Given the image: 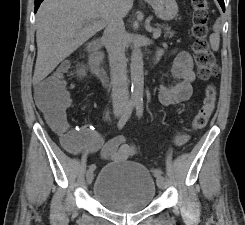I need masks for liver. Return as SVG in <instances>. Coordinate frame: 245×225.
I'll return each mask as SVG.
<instances>
[{
    "label": "liver",
    "instance_id": "1",
    "mask_svg": "<svg viewBox=\"0 0 245 225\" xmlns=\"http://www.w3.org/2000/svg\"><path fill=\"white\" fill-rule=\"evenodd\" d=\"M133 0H44L36 14L37 59L33 80L39 82L102 30L112 13L125 17Z\"/></svg>",
    "mask_w": 245,
    "mask_h": 225
}]
</instances>
